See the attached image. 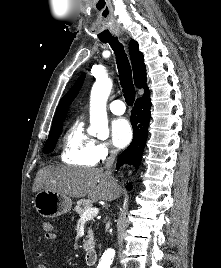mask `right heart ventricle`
I'll list each match as a JSON object with an SVG mask.
<instances>
[{"instance_id": "obj_1", "label": "right heart ventricle", "mask_w": 221, "mask_h": 268, "mask_svg": "<svg viewBox=\"0 0 221 268\" xmlns=\"http://www.w3.org/2000/svg\"><path fill=\"white\" fill-rule=\"evenodd\" d=\"M96 140L84 130L82 119H77L65 133L60 158L62 162L80 167H92L98 162Z\"/></svg>"}]
</instances>
